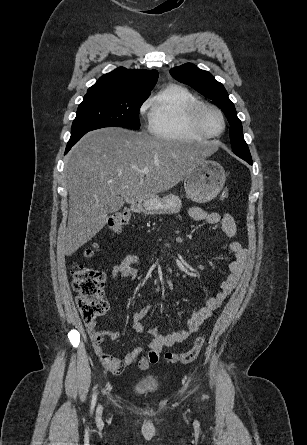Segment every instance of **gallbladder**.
I'll use <instances>...</instances> for the list:
<instances>
[{
    "instance_id": "gallbladder-1",
    "label": "gallbladder",
    "mask_w": 307,
    "mask_h": 445,
    "mask_svg": "<svg viewBox=\"0 0 307 445\" xmlns=\"http://www.w3.org/2000/svg\"><path fill=\"white\" fill-rule=\"evenodd\" d=\"M112 202L111 204H109L108 206V210L107 213L109 215H113L115 212L119 211L121 209V207L123 206V198L120 195H115L112 197Z\"/></svg>"
}]
</instances>
